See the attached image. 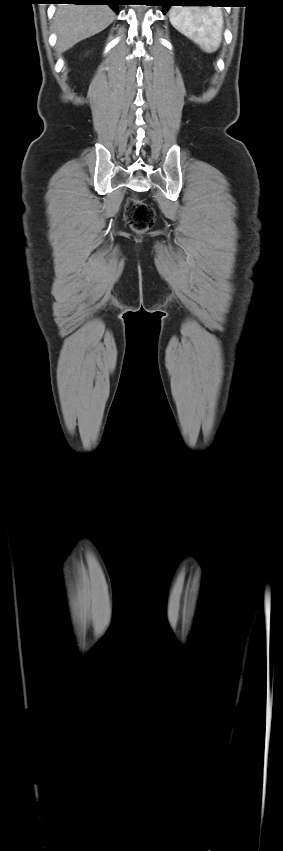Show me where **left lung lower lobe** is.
I'll return each mask as SVG.
<instances>
[{
  "instance_id": "left-lung-lower-lobe-1",
  "label": "left lung lower lobe",
  "mask_w": 283,
  "mask_h": 851,
  "mask_svg": "<svg viewBox=\"0 0 283 851\" xmlns=\"http://www.w3.org/2000/svg\"><path fill=\"white\" fill-rule=\"evenodd\" d=\"M225 2V0H160L161 6H164V14L168 11V9L173 5H199V6H221L220 3Z\"/></svg>"
}]
</instances>
